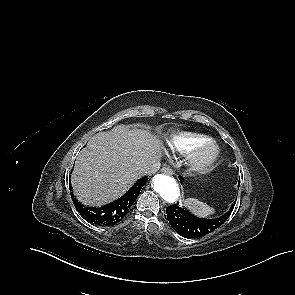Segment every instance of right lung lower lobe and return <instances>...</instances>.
<instances>
[{
  "label": "right lung lower lobe",
  "instance_id": "right-lung-lower-lobe-1",
  "mask_svg": "<svg viewBox=\"0 0 295 295\" xmlns=\"http://www.w3.org/2000/svg\"><path fill=\"white\" fill-rule=\"evenodd\" d=\"M147 180V177L140 178L122 197L100 208L85 207L72 193L71 197L76 209L87 221L99 226H111L126 216Z\"/></svg>",
  "mask_w": 295,
  "mask_h": 295
}]
</instances>
